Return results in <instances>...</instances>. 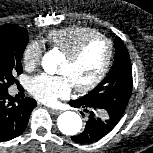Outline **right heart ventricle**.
<instances>
[{"instance_id": "right-heart-ventricle-1", "label": "right heart ventricle", "mask_w": 153, "mask_h": 153, "mask_svg": "<svg viewBox=\"0 0 153 153\" xmlns=\"http://www.w3.org/2000/svg\"><path fill=\"white\" fill-rule=\"evenodd\" d=\"M96 34L99 32L88 26H69L51 31L47 35V41L66 55L84 39Z\"/></svg>"}]
</instances>
